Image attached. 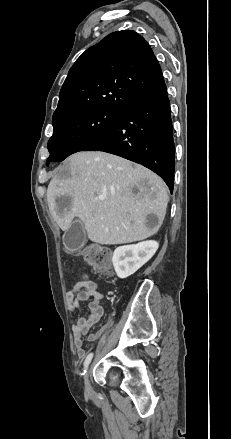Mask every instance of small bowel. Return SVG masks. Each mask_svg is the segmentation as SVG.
I'll use <instances>...</instances> for the list:
<instances>
[{
  "label": "small bowel",
  "mask_w": 231,
  "mask_h": 439,
  "mask_svg": "<svg viewBox=\"0 0 231 439\" xmlns=\"http://www.w3.org/2000/svg\"><path fill=\"white\" fill-rule=\"evenodd\" d=\"M103 297L104 294L100 291L98 284L89 279L73 284L67 292L66 301L72 312L80 308L81 301H89V313L83 317L76 318L72 324L75 349L81 359L85 356L83 338L88 335L90 328L96 324L104 314V307L102 305ZM104 329L105 328H102L97 332L89 334L87 340L89 342L97 341L104 332Z\"/></svg>",
  "instance_id": "small-bowel-1"
}]
</instances>
